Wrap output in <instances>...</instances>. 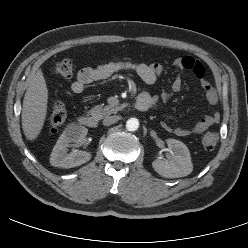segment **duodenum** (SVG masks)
<instances>
[{
  "label": "duodenum",
  "instance_id": "obj_1",
  "mask_svg": "<svg viewBox=\"0 0 248 248\" xmlns=\"http://www.w3.org/2000/svg\"><path fill=\"white\" fill-rule=\"evenodd\" d=\"M151 107L147 94H142L135 102V108L138 111H147ZM80 124L87 128H96L98 120L95 116L84 115L80 118Z\"/></svg>",
  "mask_w": 248,
  "mask_h": 248
}]
</instances>
